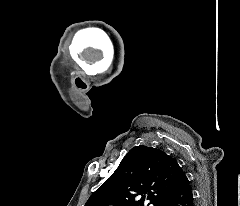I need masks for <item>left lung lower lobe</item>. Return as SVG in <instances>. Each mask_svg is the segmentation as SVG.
Wrapping results in <instances>:
<instances>
[{"label":"left lung lower lobe","mask_w":240,"mask_h":206,"mask_svg":"<svg viewBox=\"0 0 240 206\" xmlns=\"http://www.w3.org/2000/svg\"><path fill=\"white\" fill-rule=\"evenodd\" d=\"M162 206H194L191 184L181 167L178 171L175 184Z\"/></svg>","instance_id":"0a47b994"}]
</instances>
